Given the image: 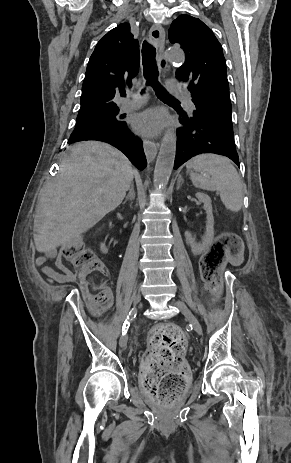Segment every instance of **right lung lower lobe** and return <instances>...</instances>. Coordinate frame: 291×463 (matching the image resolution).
Instances as JSON below:
<instances>
[{
	"label": "right lung lower lobe",
	"instance_id": "right-lung-lower-lobe-1",
	"mask_svg": "<svg viewBox=\"0 0 291 463\" xmlns=\"http://www.w3.org/2000/svg\"><path fill=\"white\" fill-rule=\"evenodd\" d=\"M84 140L107 142L122 151L138 169L143 170L147 166L142 141L130 132L125 122L115 127L98 128L71 135L68 143Z\"/></svg>",
	"mask_w": 291,
	"mask_h": 463
}]
</instances>
